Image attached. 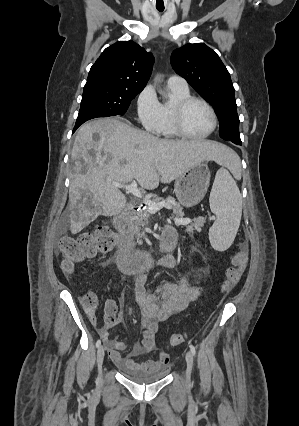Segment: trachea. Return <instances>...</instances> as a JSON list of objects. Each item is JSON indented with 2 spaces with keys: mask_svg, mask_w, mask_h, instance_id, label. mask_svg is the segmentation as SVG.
<instances>
[{
  "mask_svg": "<svg viewBox=\"0 0 299 426\" xmlns=\"http://www.w3.org/2000/svg\"><path fill=\"white\" fill-rule=\"evenodd\" d=\"M164 9H158L159 12H162Z\"/></svg>",
  "mask_w": 299,
  "mask_h": 426,
  "instance_id": "1",
  "label": "trachea"
}]
</instances>
